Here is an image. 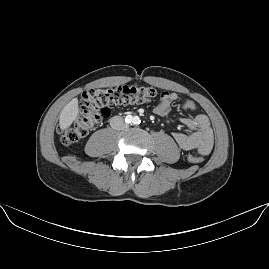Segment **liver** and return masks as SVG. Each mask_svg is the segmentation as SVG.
<instances>
[{
  "label": "liver",
  "mask_w": 269,
  "mask_h": 269,
  "mask_svg": "<svg viewBox=\"0 0 269 269\" xmlns=\"http://www.w3.org/2000/svg\"><path fill=\"white\" fill-rule=\"evenodd\" d=\"M78 115V99L73 98L61 111L59 125L61 129L68 128Z\"/></svg>",
  "instance_id": "liver-1"
}]
</instances>
